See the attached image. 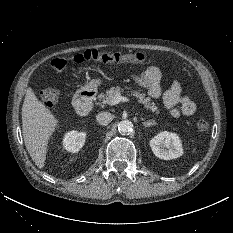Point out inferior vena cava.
Listing matches in <instances>:
<instances>
[{
  "label": "inferior vena cava",
  "mask_w": 233,
  "mask_h": 233,
  "mask_svg": "<svg viewBox=\"0 0 233 233\" xmlns=\"http://www.w3.org/2000/svg\"><path fill=\"white\" fill-rule=\"evenodd\" d=\"M113 119V116L109 112H100L96 115V120L101 125H108Z\"/></svg>",
  "instance_id": "obj_1"
}]
</instances>
